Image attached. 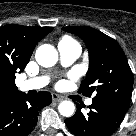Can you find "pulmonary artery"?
<instances>
[{
  "label": "pulmonary artery",
  "mask_w": 136,
  "mask_h": 136,
  "mask_svg": "<svg viewBox=\"0 0 136 136\" xmlns=\"http://www.w3.org/2000/svg\"><path fill=\"white\" fill-rule=\"evenodd\" d=\"M58 51L61 63L65 66L72 64L81 54V48L75 41H60ZM48 83V78L45 76L36 77L23 81L20 84L22 91L36 90L44 87ZM92 99H87L86 104L91 105Z\"/></svg>",
  "instance_id": "obj_1"
}]
</instances>
